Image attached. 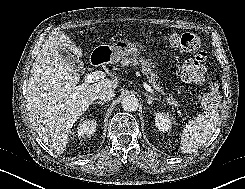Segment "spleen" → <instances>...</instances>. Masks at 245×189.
I'll list each match as a JSON object with an SVG mask.
<instances>
[{
    "instance_id": "1",
    "label": "spleen",
    "mask_w": 245,
    "mask_h": 189,
    "mask_svg": "<svg viewBox=\"0 0 245 189\" xmlns=\"http://www.w3.org/2000/svg\"><path fill=\"white\" fill-rule=\"evenodd\" d=\"M219 121V113L212 110L200 113L186 124L181 134V151L193 153L198 150L213 135Z\"/></svg>"
}]
</instances>
